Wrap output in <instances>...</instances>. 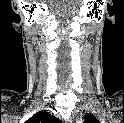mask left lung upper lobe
Here are the masks:
<instances>
[{
    "instance_id": "left-lung-upper-lobe-1",
    "label": "left lung upper lobe",
    "mask_w": 124,
    "mask_h": 123,
    "mask_svg": "<svg viewBox=\"0 0 124 123\" xmlns=\"http://www.w3.org/2000/svg\"><path fill=\"white\" fill-rule=\"evenodd\" d=\"M85 118L86 120L84 123H99V121L95 119L91 114H86Z\"/></svg>"
}]
</instances>
